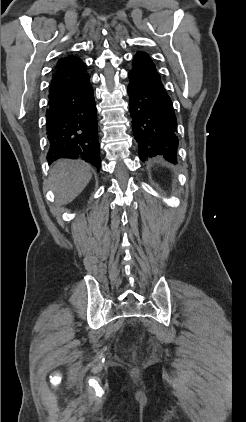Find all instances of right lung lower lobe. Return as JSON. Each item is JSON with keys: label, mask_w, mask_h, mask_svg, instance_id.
I'll return each instance as SVG.
<instances>
[{"label": "right lung lower lobe", "mask_w": 246, "mask_h": 422, "mask_svg": "<svg viewBox=\"0 0 246 422\" xmlns=\"http://www.w3.org/2000/svg\"><path fill=\"white\" fill-rule=\"evenodd\" d=\"M87 74L49 93L47 135L49 164L60 158L84 160L99 170L98 126L94 93Z\"/></svg>", "instance_id": "98d812e1"}]
</instances>
